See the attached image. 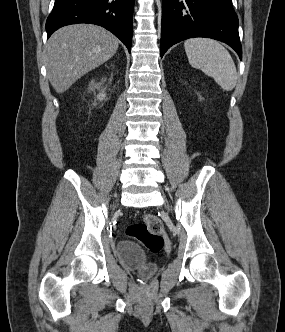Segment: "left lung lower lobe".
I'll use <instances>...</instances> for the list:
<instances>
[{"mask_svg":"<svg viewBox=\"0 0 285 332\" xmlns=\"http://www.w3.org/2000/svg\"><path fill=\"white\" fill-rule=\"evenodd\" d=\"M193 37L225 42L242 59L238 17L231 0H163L161 57L175 43Z\"/></svg>","mask_w":285,"mask_h":332,"instance_id":"left-lung-lower-lobe-1","label":"left lung lower lobe"}]
</instances>
